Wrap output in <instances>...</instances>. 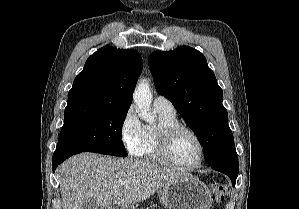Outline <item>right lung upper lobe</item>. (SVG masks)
I'll return each mask as SVG.
<instances>
[{
  "label": "right lung upper lobe",
  "mask_w": 299,
  "mask_h": 209,
  "mask_svg": "<svg viewBox=\"0 0 299 209\" xmlns=\"http://www.w3.org/2000/svg\"><path fill=\"white\" fill-rule=\"evenodd\" d=\"M142 58L133 49L104 46L92 54L68 93L67 106L103 105L129 108Z\"/></svg>",
  "instance_id": "right-lung-upper-lobe-1"
}]
</instances>
